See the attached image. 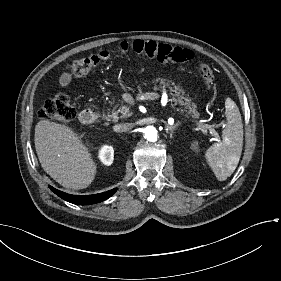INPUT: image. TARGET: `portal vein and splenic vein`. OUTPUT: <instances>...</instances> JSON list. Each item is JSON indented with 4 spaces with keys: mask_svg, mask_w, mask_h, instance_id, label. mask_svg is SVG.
I'll list each match as a JSON object with an SVG mask.
<instances>
[{
    "mask_svg": "<svg viewBox=\"0 0 281 281\" xmlns=\"http://www.w3.org/2000/svg\"><path fill=\"white\" fill-rule=\"evenodd\" d=\"M137 96L144 100V101H156V100H160L162 98V95L160 93H145L143 91H139L137 93ZM131 104L133 106H136L138 104V101L136 99H133L131 101ZM197 124L204 130H207V131H210L212 134H213V138L215 139L216 143L217 144H220L221 143V139L219 138V135L217 134V131L216 129L218 128H222L225 126V121L224 120H221L220 123L218 124H210V125H205L201 120H198L197 121Z\"/></svg>",
    "mask_w": 281,
    "mask_h": 281,
    "instance_id": "1",
    "label": "portal vein and splenic vein"
}]
</instances>
